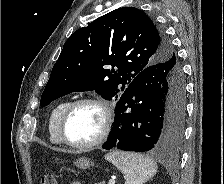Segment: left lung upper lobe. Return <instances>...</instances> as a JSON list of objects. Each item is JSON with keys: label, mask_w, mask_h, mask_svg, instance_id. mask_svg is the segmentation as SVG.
<instances>
[{"label": "left lung upper lobe", "mask_w": 224, "mask_h": 184, "mask_svg": "<svg viewBox=\"0 0 224 184\" xmlns=\"http://www.w3.org/2000/svg\"><path fill=\"white\" fill-rule=\"evenodd\" d=\"M172 58L180 67L171 44L143 11L118 8L65 42L40 106L76 91L95 90L104 99H117L145 68Z\"/></svg>", "instance_id": "1"}]
</instances>
